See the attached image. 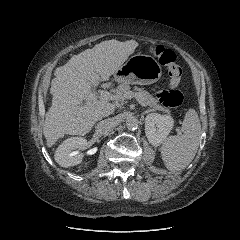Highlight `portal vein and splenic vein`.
I'll return each mask as SVG.
<instances>
[{
  "instance_id": "1",
  "label": "portal vein and splenic vein",
  "mask_w": 240,
  "mask_h": 240,
  "mask_svg": "<svg viewBox=\"0 0 240 240\" xmlns=\"http://www.w3.org/2000/svg\"><path fill=\"white\" fill-rule=\"evenodd\" d=\"M111 94L107 91H103L101 92V98H107V97H110ZM135 98L142 106H145V103L140 99V97L137 95V94H134L132 92H127L125 94V98L126 99H132V98ZM114 98H117V95L114 96ZM97 100V97H96V94L95 93H92L86 100L87 103H92L94 101Z\"/></svg>"
}]
</instances>
